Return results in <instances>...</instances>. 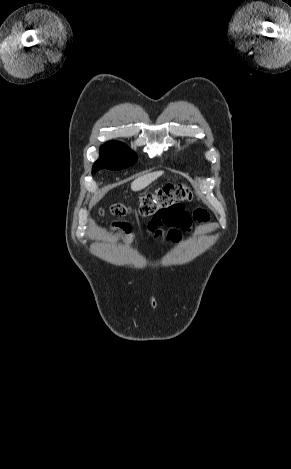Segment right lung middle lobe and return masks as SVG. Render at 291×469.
Returning <instances> with one entry per match:
<instances>
[{
  "instance_id": "1",
  "label": "right lung middle lobe",
  "mask_w": 291,
  "mask_h": 469,
  "mask_svg": "<svg viewBox=\"0 0 291 469\" xmlns=\"http://www.w3.org/2000/svg\"><path fill=\"white\" fill-rule=\"evenodd\" d=\"M135 161V153L126 145L118 141H108L100 148V156L93 165L92 174L102 168L120 170L133 165Z\"/></svg>"
}]
</instances>
